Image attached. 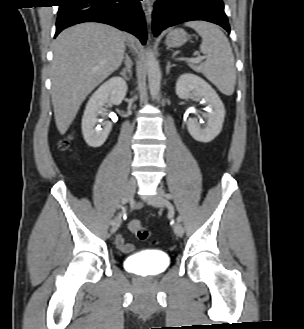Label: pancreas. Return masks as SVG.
<instances>
[{
    "label": "pancreas",
    "mask_w": 304,
    "mask_h": 329,
    "mask_svg": "<svg viewBox=\"0 0 304 329\" xmlns=\"http://www.w3.org/2000/svg\"><path fill=\"white\" fill-rule=\"evenodd\" d=\"M189 66L195 71H199V69H200V67H198L197 65H195L194 63H191V62L189 63Z\"/></svg>",
    "instance_id": "pancreas-1"
}]
</instances>
